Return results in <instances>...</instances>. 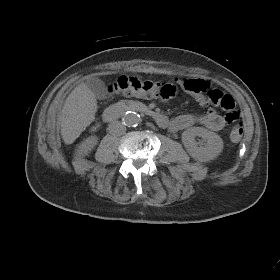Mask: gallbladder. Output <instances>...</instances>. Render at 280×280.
Returning a JSON list of instances; mask_svg holds the SVG:
<instances>
[{
	"label": "gallbladder",
	"instance_id": "bac80fb5",
	"mask_svg": "<svg viewBox=\"0 0 280 280\" xmlns=\"http://www.w3.org/2000/svg\"><path fill=\"white\" fill-rule=\"evenodd\" d=\"M86 85L95 94L96 98L98 99L107 98L108 93L105 87V83L101 79L97 77L90 78L87 80Z\"/></svg>",
	"mask_w": 280,
	"mask_h": 280
}]
</instances>
